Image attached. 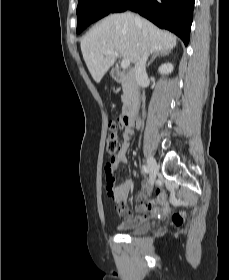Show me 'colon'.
Masks as SVG:
<instances>
[{"label": "colon", "mask_w": 229, "mask_h": 280, "mask_svg": "<svg viewBox=\"0 0 229 280\" xmlns=\"http://www.w3.org/2000/svg\"><path fill=\"white\" fill-rule=\"evenodd\" d=\"M124 123H120L117 118L110 120L109 126L111 132L109 133L106 141V164H105V173L106 180L113 185H116V178L114 174V161L113 157L121 149V143L117 135V131L121 128ZM172 219L176 223L182 221V216L180 213H174Z\"/></svg>", "instance_id": "colon-1"}]
</instances>
